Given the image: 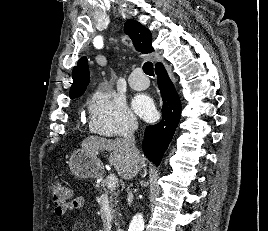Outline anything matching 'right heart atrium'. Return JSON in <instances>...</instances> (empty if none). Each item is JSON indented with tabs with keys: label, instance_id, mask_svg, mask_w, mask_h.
<instances>
[{
	"label": "right heart atrium",
	"instance_id": "d8ad5b80",
	"mask_svg": "<svg viewBox=\"0 0 268 231\" xmlns=\"http://www.w3.org/2000/svg\"><path fill=\"white\" fill-rule=\"evenodd\" d=\"M89 128L103 137L127 136L136 126V119L121 95L97 90L89 98Z\"/></svg>",
	"mask_w": 268,
	"mask_h": 231
}]
</instances>
